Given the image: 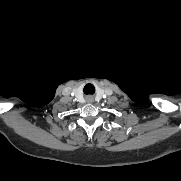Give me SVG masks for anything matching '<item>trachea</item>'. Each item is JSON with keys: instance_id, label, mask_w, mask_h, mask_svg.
I'll use <instances>...</instances> for the list:
<instances>
[{"instance_id": "trachea-1", "label": "trachea", "mask_w": 181, "mask_h": 181, "mask_svg": "<svg viewBox=\"0 0 181 181\" xmlns=\"http://www.w3.org/2000/svg\"><path fill=\"white\" fill-rule=\"evenodd\" d=\"M95 92V88L92 84H87L84 87V93L85 94H94Z\"/></svg>"}]
</instances>
